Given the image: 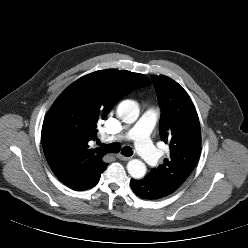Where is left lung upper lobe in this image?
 <instances>
[{"label":"left lung upper lobe","mask_w":248,"mask_h":248,"mask_svg":"<svg viewBox=\"0 0 248 248\" xmlns=\"http://www.w3.org/2000/svg\"><path fill=\"white\" fill-rule=\"evenodd\" d=\"M162 114L161 139L169 144L170 158L145 177L167 196L174 193L194 170L201 152V131L194 104L173 79L152 76Z\"/></svg>","instance_id":"1"}]
</instances>
